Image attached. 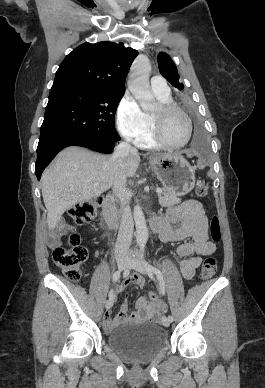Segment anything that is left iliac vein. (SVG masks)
Masks as SVG:
<instances>
[{"label":"left iliac vein","mask_w":265,"mask_h":388,"mask_svg":"<svg viewBox=\"0 0 265 388\" xmlns=\"http://www.w3.org/2000/svg\"><path fill=\"white\" fill-rule=\"evenodd\" d=\"M127 267L130 268V269H134L142 274H147V269L145 267V264L142 260L140 259H137V258H130L128 259V264H127ZM170 321L169 319L164 316L162 318V324L163 326L165 327H168L170 325Z\"/></svg>","instance_id":"1"}]
</instances>
